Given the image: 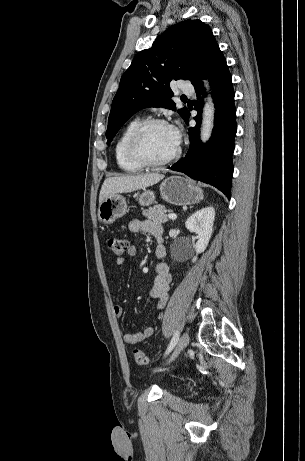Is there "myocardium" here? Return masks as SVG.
I'll use <instances>...</instances> for the list:
<instances>
[{
    "label": "myocardium",
    "instance_id": "myocardium-1",
    "mask_svg": "<svg viewBox=\"0 0 305 461\" xmlns=\"http://www.w3.org/2000/svg\"><path fill=\"white\" fill-rule=\"evenodd\" d=\"M156 125H166L169 126L167 121L160 118H151L142 121L131 134L128 144H127V153L129 158L136 164L145 168H157L168 165L175 160H177L181 155V147L178 145L176 151L169 157L160 160L152 161L144 156L141 150V144L143 137L147 130Z\"/></svg>",
    "mask_w": 305,
    "mask_h": 461
}]
</instances>
